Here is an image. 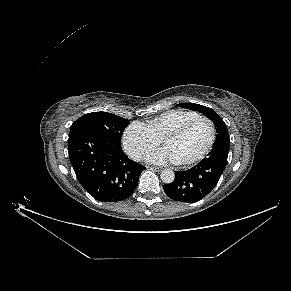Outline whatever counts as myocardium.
Here are the masks:
<instances>
[{
  "instance_id": "f54148a6",
  "label": "myocardium",
  "mask_w": 291,
  "mask_h": 291,
  "mask_svg": "<svg viewBox=\"0 0 291 291\" xmlns=\"http://www.w3.org/2000/svg\"><path fill=\"white\" fill-rule=\"evenodd\" d=\"M198 122H205L208 124V126L210 128L209 140H208L206 146L203 148V150L197 156H195L194 158L187 160V161H176V164H178V165L185 166V167L192 166V165L200 162L208 154V152L211 150V148L215 142V139H216L215 124L209 118L204 117V116H199V117H196L194 119H191V120L183 123L182 125H180L176 129L170 131L162 139V143L165 144L168 140L178 138Z\"/></svg>"
}]
</instances>
